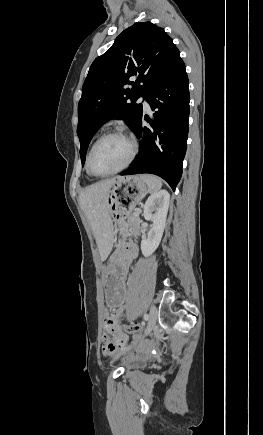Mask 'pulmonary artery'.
<instances>
[{"mask_svg": "<svg viewBox=\"0 0 263 435\" xmlns=\"http://www.w3.org/2000/svg\"><path fill=\"white\" fill-rule=\"evenodd\" d=\"M140 102H142V104H143V106H144V108L146 110H150V105H149L148 101L145 98H143V97L140 98Z\"/></svg>", "mask_w": 263, "mask_h": 435, "instance_id": "1", "label": "pulmonary artery"}]
</instances>
